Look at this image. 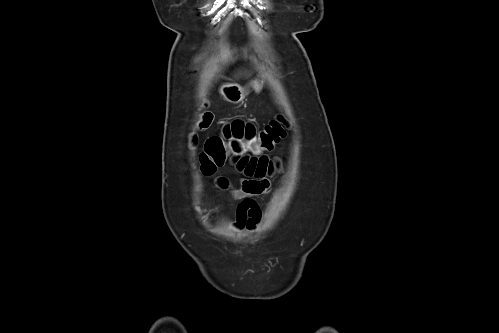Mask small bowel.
<instances>
[{
  "label": "small bowel",
  "mask_w": 499,
  "mask_h": 333,
  "mask_svg": "<svg viewBox=\"0 0 499 333\" xmlns=\"http://www.w3.org/2000/svg\"><path fill=\"white\" fill-rule=\"evenodd\" d=\"M257 134L258 132L253 126L242 121H234L225 128L223 137L226 139L238 138L249 142ZM233 158L238 168L247 176L239 187L232 189L233 197L241 201L237 207L234 227L252 229L259 223L261 217L259 207L253 198L269 191L270 182L265 178V175L271 167V162L265 155H241L233 156ZM220 185L223 188L229 186L226 179H221Z\"/></svg>",
  "instance_id": "c3829d8e"
}]
</instances>
